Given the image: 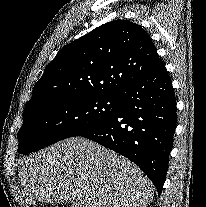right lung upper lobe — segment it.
I'll list each match as a JSON object with an SVG mask.
<instances>
[{
    "label": "right lung upper lobe",
    "instance_id": "cb5924a9",
    "mask_svg": "<svg viewBox=\"0 0 206 207\" xmlns=\"http://www.w3.org/2000/svg\"><path fill=\"white\" fill-rule=\"evenodd\" d=\"M160 59L147 32L128 20L103 24L64 46L46 66L25 110L47 100L120 94Z\"/></svg>",
    "mask_w": 206,
    "mask_h": 207
}]
</instances>
